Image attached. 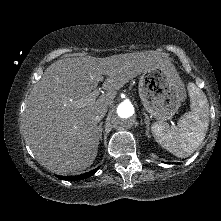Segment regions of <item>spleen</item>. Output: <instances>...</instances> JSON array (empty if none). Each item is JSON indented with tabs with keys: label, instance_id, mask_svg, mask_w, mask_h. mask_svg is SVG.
<instances>
[{
	"label": "spleen",
	"instance_id": "obj_1",
	"mask_svg": "<svg viewBox=\"0 0 221 221\" xmlns=\"http://www.w3.org/2000/svg\"><path fill=\"white\" fill-rule=\"evenodd\" d=\"M191 111L185 113L175 128L157 122L152 133L158 144L179 158L191 155L205 139L209 126V104L206 95L194 83L187 86Z\"/></svg>",
	"mask_w": 221,
	"mask_h": 221
}]
</instances>
